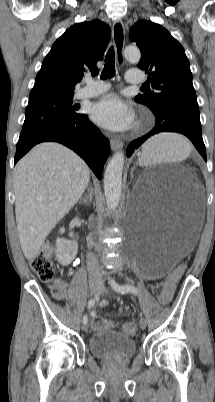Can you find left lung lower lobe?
Here are the masks:
<instances>
[{
  "instance_id": "obj_1",
  "label": "left lung lower lobe",
  "mask_w": 215,
  "mask_h": 402,
  "mask_svg": "<svg viewBox=\"0 0 215 402\" xmlns=\"http://www.w3.org/2000/svg\"><path fill=\"white\" fill-rule=\"evenodd\" d=\"M152 111L156 119L155 127L144 136L131 142L127 148L128 157L151 136L161 132H177L186 135L204 160H207L205 145L202 139L200 118L177 110Z\"/></svg>"
}]
</instances>
